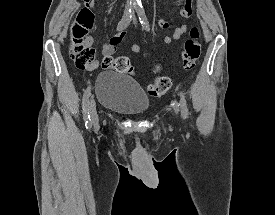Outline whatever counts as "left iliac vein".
<instances>
[{
	"mask_svg": "<svg viewBox=\"0 0 275 215\" xmlns=\"http://www.w3.org/2000/svg\"><path fill=\"white\" fill-rule=\"evenodd\" d=\"M174 111H175V113H178V111H179V106H178V104H175V105H174Z\"/></svg>",
	"mask_w": 275,
	"mask_h": 215,
	"instance_id": "left-iliac-vein-1",
	"label": "left iliac vein"
}]
</instances>
